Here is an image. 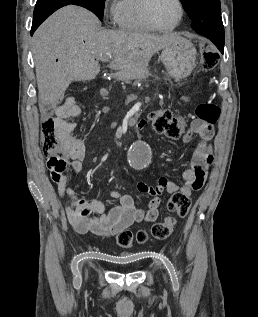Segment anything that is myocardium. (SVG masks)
Masks as SVG:
<instances>
[{"label": "myocardium", "instance_id": "obj_1", "mask_svg": "<svg viewBox=\"0 0 258 317\" xmlns=\"http://www.w3.org/2000/svg\"><path fill=\"white\" fill-rule=\"evenodd\" d=\"M156 0H147V2L144 5V9H143V19L144 22L147 24V26H149L151 29L155 30V31H159V32H169V31H173L174 29H176L180 22L182 21L183 18V14H184V10H183V4L181 0H175L178 4V8H179V16L177 21L168 28H163V27H159L157 25H155L151 19L150 16V10L152 7V4L155 2Z\"/></svg>", "mask_w": 258, "mask_h": 317}]
</instances>
